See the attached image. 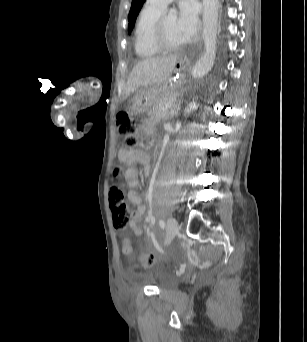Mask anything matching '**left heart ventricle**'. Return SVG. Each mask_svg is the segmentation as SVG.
<instances>
[{
	"instance_id": "1",
	"label": "left heart ventricle",
	"mask_w": 307,
	"mask_h": 342,
	"mask_svg": "<svg viewBox=\"0 0 307 342\" xmlns=\"http://www.w3.org/2000/svg\"><path fill=\"white\" fill-rule=\"evenodd\" d=\"M175 20L165 19L162 30V40L166 47L172 50H179L184 47V43L178 38L175 31Z\"/></svg>"
}]
</instances>
